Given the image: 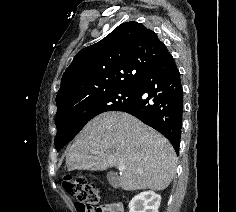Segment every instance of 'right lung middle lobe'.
I'll return each instance as SVG.
<instances>
[{
    "instance_id": "obj_1",
    "label": "right lung middle lobe",
    "mask_w": 236,
    "mask_h": 212,
    "mask_svg": "<svg viewBox=\"0 0 236 212\" xmlns=\"http://www.w3.org/2000/svg\"><path fill=\"white\" fill-rule=\"evenodd\" d=\"M137 89V85L115 88L79 99L57 110L55 118L57 151L69 143L95 116L107 111H116L131 102L136 96Z\"/></svg>"
}]
</instances>
